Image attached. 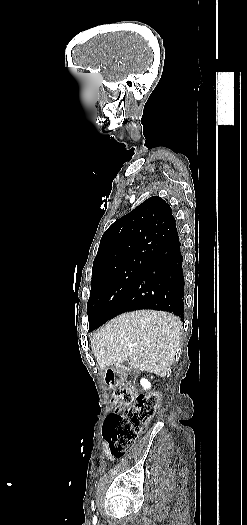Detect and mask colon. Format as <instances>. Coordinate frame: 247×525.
I'll return each instance as SVG.
<instances>
[{
  "instance_id": "colon-1",
  "label": "colon",
  "mask_w": 247,
  "mask_h": 525,
  "mask_svg": "<svg viewBox=\"0 0 247 525\" xmlns=\"http://www.w3.org/2000/svg\"><path fill=\"white\" fill-rule=\"evenodd\" d=\"M160 400L159 393L138 395L131 387L114 391L116 411L106 417L104 427V437L112 457L122 458L133 446L147 421L155 415Z\"/></svg>"
}]
</instances>
